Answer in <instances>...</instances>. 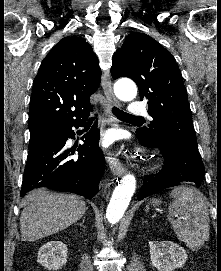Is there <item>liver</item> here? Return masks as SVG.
<instances>
[{"mask_svg":"<svg viewBox=\"0 0 221 271\" xmlns=\"http://www.w3.org/2000/svg\"><path fill=\"white\" fill-rule=\"evenodd\" d=\"M20 215L22 241H37L66 229L84 215L85 201L74 193H51L45 187L32 189L24 197Z\"/></svg>","mask_w":221,"mask_h":271,"instance_id":"liver-1","label":"liver"}]
</instances>
